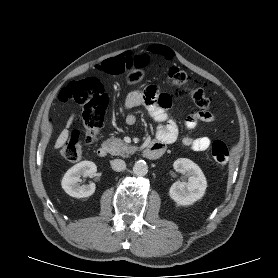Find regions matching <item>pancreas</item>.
<instances>
[{
	"instance_id": "obj_1",
	"label": "pancreas",
	"mask_w": 278,
	"mask_h": 278,
	"mask_svg": "<svg viewBox=\"0 0 278 278\" xmlns=\"http://www.w3.org/2000/svg\"><path fill=\"white\" fill-rule=\"evenodd\" d=\"M104 145L108 147L109 152L112 155L127 157L133 152V148L119 138H109L104 142Z\"/></svg>"
}]
</instances>
